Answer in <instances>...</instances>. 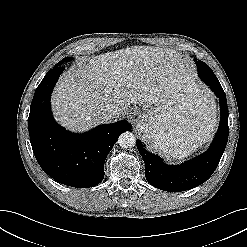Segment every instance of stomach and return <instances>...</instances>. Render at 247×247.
Masks as SVG:
<instances>
[{
    "label": "stomach",
    "instance_id": "1",
    "mask_svg": "<svg viewBox=\"0 0 247 247\" xmlns=\"http://www.w3.org/2000/svg\"><path fill=\"white\" fill-rule=\"evenodd\" d=\"M175 80L154 107L142 113L137 126L152 149L171 159L192 153L215 126L214 99L194 75L184 70Z\"/></svg>",
    "mask_w": 247,
    "mask_h": 247
}]
</instances>
